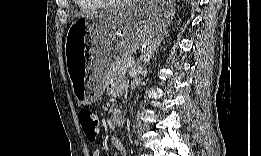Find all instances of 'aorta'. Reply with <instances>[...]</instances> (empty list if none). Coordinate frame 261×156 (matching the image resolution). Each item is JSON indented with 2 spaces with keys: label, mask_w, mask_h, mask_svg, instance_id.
Here are the masks:
<instances>
[{
  "label": "aorta",
  "mask_w": 261,
  "mask_h": 156,
  "mask_svg": "<svg viewBox=\"0 0 261 156\" xmlns=\"http://www.w3.org/2000/svg\"><path fill=\"white\" fill-rule=\"evenodd\" d=\"M139 85V80L135 79L133 80V82L131 83V89H135V87H137ZM112 120L114 124H118L120 125L122 120H123V115H122V111L121 108L119 107H114L112 110Z\"/></svg>",
  "instance_id": "1"
}]
</instances>
